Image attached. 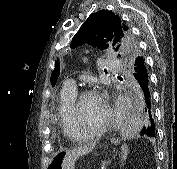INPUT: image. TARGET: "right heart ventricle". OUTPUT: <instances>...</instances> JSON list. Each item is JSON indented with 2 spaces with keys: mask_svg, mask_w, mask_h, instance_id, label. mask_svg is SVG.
<instances>
[{
  "mask_svg": "<svg viewBox=\"0 0 177 169\" xmlns=\"http://www.w3.org/2000/svg\"><path fill=\"white\" fill-rule=\"evenodd\" d=\"M77 93V90L69 89L64 86L60 92L58 100V118L61 130L63 135L70 141H78L84 139H80L76 136L71 115V108Z\"/></svg>",
  "mask_w": 177,
  "mask_h": 169,
  "instance_id": "1",
  "label": "right heart ventricle"
}]
</instances>
